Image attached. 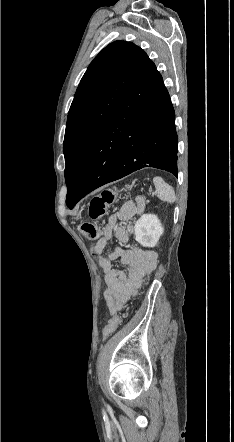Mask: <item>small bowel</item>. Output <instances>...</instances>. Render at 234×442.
Masks as SVG:
<instances>
[{"instance_id": "c3829d8e", "label": "small bowel", "mask_w": 234, "mask_h": 442, "mask_svg": "<svg viewBox=\"0 0 234 442\" xmlns=\"http://www.w3.org/2000/svg\"><path fill=\"white\" fill-rule=\"evenodd\" d=\"M144 206L145 203L140 198L126 202L109 217L104 236L92 248V253L104 273V295L110 315L116 314L125 306L142 278L151 273L157 265V256L154 252L136 247H116L108 255L103 256L104 248L112 237H115L122 246L129 243L131 227H126L123 223L131 222L144 210ZM117 259L127 266L125 271L113 268L112 263Z\"/></svg>"}]
</instances>
